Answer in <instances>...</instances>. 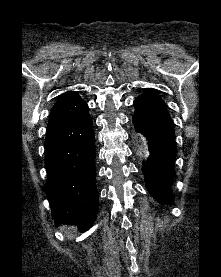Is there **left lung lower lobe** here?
Returning <instances> with one entry per match:
<instances>
[{
	"label": "left lung lower lobe",
	"instance_id": "obj_1",
	"mask_svg": "<svg viewBox=\"0 0 221 277\" xmlns=\"http://www.w3.org/2000/svg\"><path fill=\"white\" fill-rule=\"evenodd\" d=\"M133 105L135 114L132 122L137 132L146 137L150 151L142 167L147 190L158 202L168 204L177 154L172 119L163 100L153 91H145Z\"/></svg>",
	"mask_w": 221,
	"mask_h": 277
}]
</instances>
